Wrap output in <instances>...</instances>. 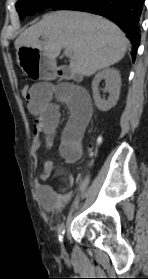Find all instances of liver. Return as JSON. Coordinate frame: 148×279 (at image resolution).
Here are the masks:
<instances>
[{"label":"liver","instance_id":"6515ba94","mask_svg":"<svg viewBox=\"0 0 148 279\" xmlns=\"http://www.w3.org/2000/svg\"><path fill=\"white\" fill-rule=\"evenodd\" d=\"M43 37L45 41H40ZM129 41L114 23L107 19L79 11H55L23 31L15 40V47L38 49L55 61L62 48L72 49L73 73L91 76L97 71L119 62L125 55Z\"/></svg>","mask_w":148,"mask_h":279}]
</instances>
